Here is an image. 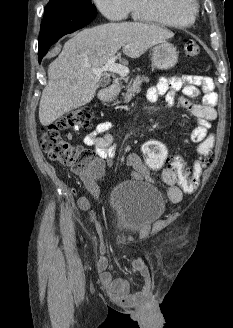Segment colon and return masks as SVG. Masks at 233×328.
I'll use <instances>...</instances> for the list:
<instances>
[{"mask_svg":"<svg viewBox=\"0 0 233 328\" xmlns=\"http://www.w3.org/2000/svg\"><path fill=\"white\" fill-rule=\"evenodd\" d=\"M188 56H196L200 46L195 41H189L184 46ZM93 118L90 108L83 107L60 117L42 130L40 144L46 155L61 164L69 166L76 173L93 175L98 171L95 165V154L92 150L73 145L69 138L78 136L86 131ZM214 137L208 135L198 146L197 156L191 167H187L180 156L169 160V167L178 178V184L184 192L190 193L197 189L201 174L213 158ZM142 153L146 164L157 169L168 161L166 147L159 141L149 140L142 146Z\"/></svg>","mask_w":233,"mask_h":328,"instance_id":"colon-1","label":"colon"}]
</instances>
